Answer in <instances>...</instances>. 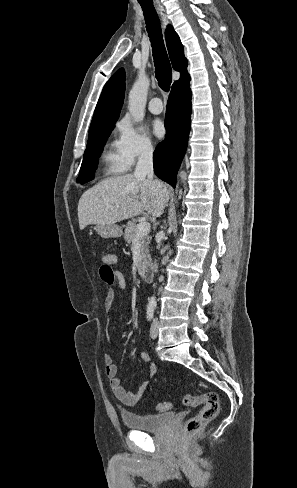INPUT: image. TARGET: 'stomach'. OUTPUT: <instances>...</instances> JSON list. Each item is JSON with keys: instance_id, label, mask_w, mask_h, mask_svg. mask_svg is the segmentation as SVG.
<instances>
[{"instance_id": "obj_1", "label": "stomach", "mask_w": 297, "mask_h": 488, "mask_svg": "<svg viewBox=\"0 0 297 488\" xmlns=\"http://www.w3.org/2000/svg\"><path fill=\"white\" fill-rule=\"evenodd\" d=\"M95 230L102 238H118L122 235L121 227L116 224H98Z\"/></svg>"}]
</instances>
